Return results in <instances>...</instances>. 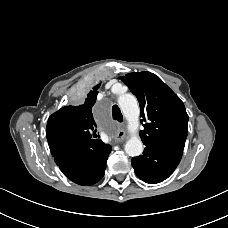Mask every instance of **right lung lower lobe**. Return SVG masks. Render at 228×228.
Wrapping results in <instances>:
<instances>
[{
	"label": "right lung lower lobe",
	"mask_w": 228,
	"mask_h": 228,
	"mask_svg": "<svg viewBox=\"0 0 228 228\" xmlns=\"http://www.w3.org/2000/svg\"><path fill=\"white\" fill-rule=\"evenodd\" d=\"M49 147L63 174L79 185H92L103 177L111 152V146L101 140L58 143Z\"/></svg>",
	"instance_id": "right-lung-lower-lobe-1"
}]
</instances>
